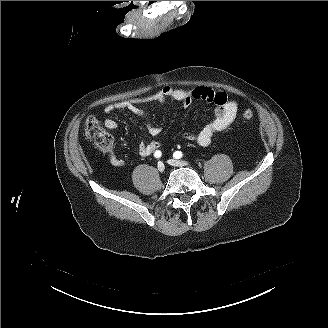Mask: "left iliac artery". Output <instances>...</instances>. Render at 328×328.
<instances>
[{
	"label": "left iliac artery",
	"mask_w": 328,
	"mask_h": 328,
	"mask_svg": "<svg viewBox=\"0 0 328 328\" xmlns=\"http://www.w3.org/2000/svg\"><path fill=\"white\" fill-rule=\"evenodd\" d=\"M173 157L176 158V159L181 158L182 157V152L181 151L174 152Z\"/></svg>",
	"instance_id": "44dca946"
}]
</instances>
